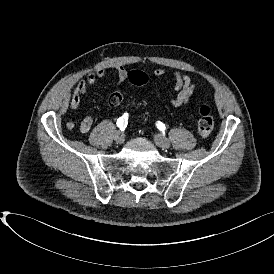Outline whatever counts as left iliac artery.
Masks as SVG:
<instances>
[{
    "label": "left iliac artery",
    "mask_w": 274,
    "mask_h": 274,
    "mask_svg": "<svg viewBox=\"0 0 274 274\" xmlns=\"http://www.w3.org/2000/svg\"><path fill=\"white\" fill-rule=\"evenodd\" d=\"M156 125L160 131H165L166 126L162 122L158 121Z\"/></svg>",
    "instance_id": "1"
}]
</instances>
